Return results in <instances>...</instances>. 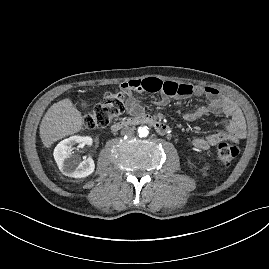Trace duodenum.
<instances>
[{"mask_svg": "<svg viewBox=\"0 0 269 269\" xmlns=\"http://www.w3.org/2000/svg\"><path fill=\"white\" fill-rule=\"evenodd\" d=\"M138 124H148L153 126L157 132L160 134L166 135L169 133V127L165 123L156 119L155 117L147 114H137L131 117L123 118L116 121L111 129L112 131H119L120 129L127 126H134Z\"/></svg>", "mask_w": 269, "mask_h": 269, "instance_id": "obj_1", "label": "duodenum"}]
</instances>
